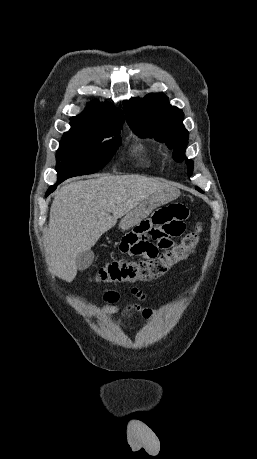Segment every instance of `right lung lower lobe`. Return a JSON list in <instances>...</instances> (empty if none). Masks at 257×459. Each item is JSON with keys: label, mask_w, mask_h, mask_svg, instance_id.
Wrapping results in <instances>:
<instances>
[{"label": "right lung lower lobe", "mask_w": 257, "mask_h": 459, "mask_svg": "<svg viewBox=\"0 0 257 459\" xmlns=\"http://www.w3.org/2000/svg\"><path fill=\"white\" fill-rule=\"evenodd\" d=\"M62 181H64V179L58 178L57 184H59V183L62 182ZM54 190H55V186H51V187L48 189V191H47V193H46V196H48V195H49L51 192H53Z\"/></svg>", "instance_id": "obj_1"}]
</instances>
